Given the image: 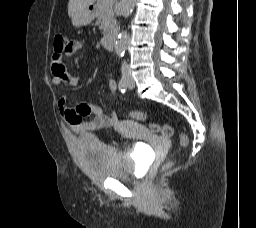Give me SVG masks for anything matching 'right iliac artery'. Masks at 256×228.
<instances>
[{
    "mask_svg": "<svg viewBox=\"0 0 256 228\" xmlns=\"http://www.w3.org/2000/svg\"><path fill=\"white\" fill-rule=\"evenodd\" d=\"M128 84L125 75H123L119 81L118 88L121 93H125L127 90Z\"/></svg>",
    "mask_w": 256,
    "mask_h": 228,
    "instance_id": "82829eb1",
    "label": "right iliac artery"
}]
</instances>
